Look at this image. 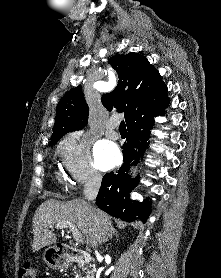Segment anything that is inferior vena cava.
<instances>
[{
  "mask_svg": "<svg viewBox=\"0 0 221 278\" xmlns=\"http://www.w3.org/2000/svg\"><path fill=\"white\" fill-rule=\"evenodd\" d=\"M101 181V174L95 170H91L84 187V196L88 201H93L96 198L101 185Z\"/></svg>",
  "mask_w": 221,
  "mask_h": 278,
  "instance_id": "1",
  "label": "inferior vena cava"
}]
</instances>
